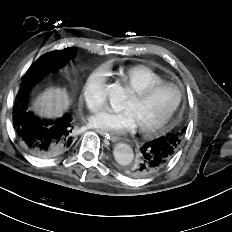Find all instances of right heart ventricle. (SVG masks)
I'll return each mask as SVG.
<instances>
[{
    "label": "right heart ventricle",
    "mask_w": 232,
    "mask_h": 232,
    "mask_svg": "<svg viewBox=\"0 0 232 232\" xmlns=\"http://www.w3.org/2000/svg\"><path fill=\"white\" fill-rule=\"evenodd\" d=\"M117 75L131 91L149 84L163 82L164 79L151 68L144 65H133L121 68Z\"/></svg>",
    "instance_id": "e07e8e85"
}]
</instances>
